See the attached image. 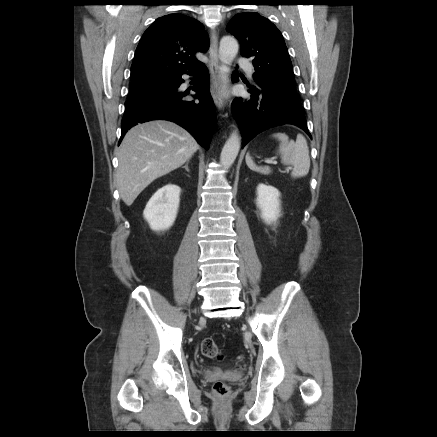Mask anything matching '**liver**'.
I'll return each instance as SVG.
<instances>
[{"instance_id":"6515ba94","label":"liver","mask_w":437,"mask_h":437,"mask_svg":"<svg viewBox=\"0 0 437 437\" xmlns=\"http://www.w3.org/2000/svg\"><path fill=\"white\" fill-rule=\"evenodd\" d=\"M198 148L191 134L173 122L157 120L131 128L118 151L116 182L123 202L131 206L151 182L182 166Z\"/></svg>"}]
</instances>
